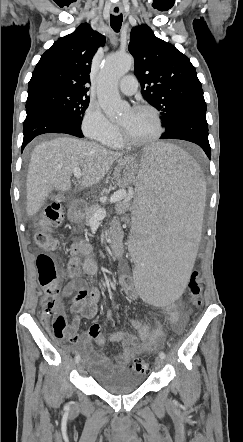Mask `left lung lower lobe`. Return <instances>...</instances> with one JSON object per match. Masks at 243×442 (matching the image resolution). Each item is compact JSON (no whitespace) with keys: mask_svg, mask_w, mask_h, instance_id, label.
Listing matches in <instances>:
<instances>
[{"mask_svg":"<svg viewBox=\"0 0 243 442\" xmlns=\"http://www.w3.org/2000/svg\"><path fill=\"white\" fill-rule=\"evenodd\" d=\"M206 103H195L183 107L166 126L161 139H180L199 145L211 158L206 121Z\"/></svg>","mask_w":243,"mask_h":442,"instance_id":"left-lung-lower-lobe-1","label":"left lung lower lobe"}]
</instances>
